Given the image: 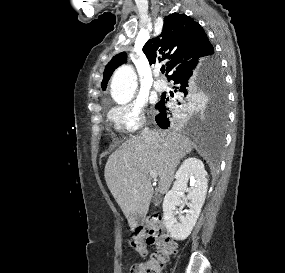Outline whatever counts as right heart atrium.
<instances>
[{
    "instance_id": "obj_1",
    "label": "right heart atrium",
    "mask_w": 285,
    "mask_h": 273,
    "mask_svg": "<svg viewBox=\"0 0 285 273\" xmlns=\"http://www.w3.org/2000/svg\"><path fill=\"white\" fill-rule=\"evenodd\" d=\"M110 119L117 132L133 134L141 130L145 124V106L139 101H130L113 107Z\"/></svg>"
}]
</instances>
